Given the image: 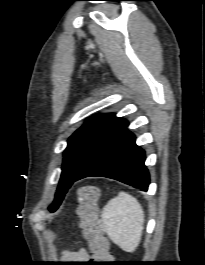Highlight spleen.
Listing matches in <instances>:
<instances>
[{"label":"spleen","mask_w":205,"mask_h":265,"mask_svg":"<svg viewBox=\"0 0 205 265\" xmlns=\"http://www.w3.org/2000/svg\"><path fill=\"white\" fill-rule=\"evenodd\" d=\"M103 226L109 238L126 252L138 247L145 215L138 200L126 192L109 200L102 211Z\"/></svg>","instance_id":"spleen-1"}]
</instances>
